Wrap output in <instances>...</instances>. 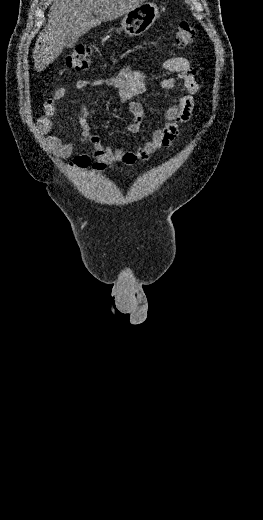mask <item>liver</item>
Listing matches in <instances>:
<instances>
[{"label": "liver", "mask_w": 263, "mask_h": 520, "mask_svg": "<svg viewBox=\"0 0 263 520\" xmlns=\"http://www.w3.org/2000/svg\"><path fill=\"white\" fill-rule=\"evenodd\" d=\"M143 2L145 0H55L33 51L35 70H44L62 53L67 37L76 43L102 21L121 17Z\"/></svg>", "instance_id": "liver-1"}]
</instances>
